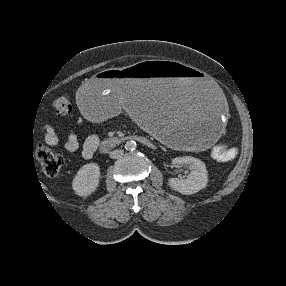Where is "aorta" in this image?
Listing matches in <instances>:
<instances>
[{
  "label": "aorta",
  "instance_id": "1",
  "mask_svg": "<svg viewBox=\"0 0 286 286\" xmlns=\"http://www.w3.org/2000/svg\"><path fill=\"white\" fill-rule=\"evenodd\" d=\"M136 148V142L133 140L127 141L125 143V149L128 151H133Z\"/></svg>",
  "mask_w": 286,
  "mask_h": 286
}]
</instances>
